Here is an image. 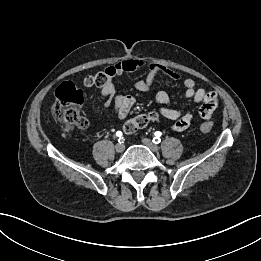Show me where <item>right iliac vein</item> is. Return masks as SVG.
Segmentation results:
<instances>
[{"mask_svg":"<svg viewBox=\"0 0 261 261\" xmlns=\"http://www.w3.org/2000/svg\"><path fill=\"white\" fill-rule=\"evenodd\" d=\"M124 149H125V145L123 143H117L115 145V150L118 153H122L124 151Z\"/></svg>","mask_w":261,"mask_h":261,"instance_id":"right-iliac-vein-1","label":"right iliac vein"}]
</instances>
